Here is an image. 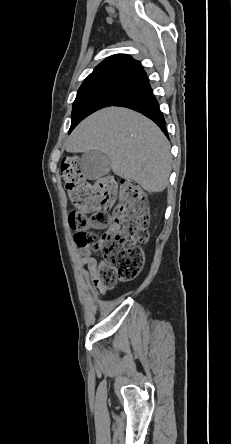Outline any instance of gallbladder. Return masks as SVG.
<instances>
[{"label": "gallbladder", "mask_w": 231, "mask_h": 444, "mask_svg": "<svg viewBox=\"0 0 231 444\" xmlns=\"http://www.w3.org/2000/svg\"><path fill=\"white\" fill-rule=\"evenodd\" d=\"M110 164V159L106 154L93 150L83 154L80 168L85 178L95 180L108 174Z\"/></svg>", "instance_id": "1"}]
</instances>
